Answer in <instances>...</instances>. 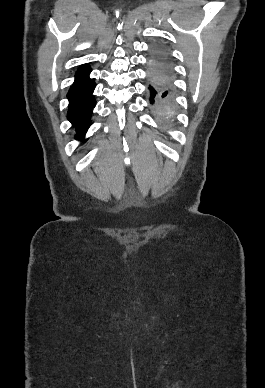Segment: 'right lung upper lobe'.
Masks as SVG:
<instances>
[{"label":"right lung upper lobe","instance_id":"1","mask_svg":"<svg viewBox=\"0 0 265 388\" xmlns=\"http://www.w3.org/2000/svg\"><path fill=\"white\" fill-rule=\"evenodd\" d=\"M90 72H91L90 67L87 66V65H85V66H82V67L77 71L75 77H76V78L85 77V76H88Z\"/></svg>","mask_w":265,"mask_h":388}]
</instances>
